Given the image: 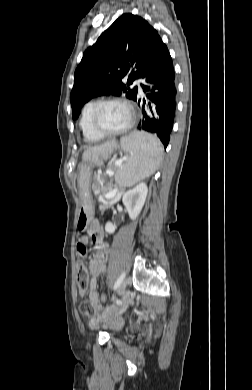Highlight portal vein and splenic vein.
<instances>
[{"mask_svg":"<svg viewBox=\"0 0 252 390\" xmlns=\"http://www.w3.org/2000/svg\"><path fill=\"white\" fill-rule=\"evenodd\" d=\"M126 160V158H122V159H119V160H116L115 161V166H120L124 161ZM108 174H112L113 172L111 170L107 171ZM116 195V191H113V192H110L106 195V198L110 199V198H113L114 196Z\"/></svg>","mask_w":252,"mask_h":390,"instance_id":"18ae733b","label":"portal vein and splenic vein"}]
</instances>
